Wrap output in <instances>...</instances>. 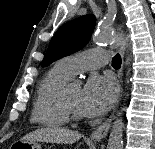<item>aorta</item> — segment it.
<instances>
[{
    "instance_id": "762f6f07",
    "label": "aorta",
    "mask_w": 155,
    "mask_h": 149,
    "mask_svg": "<svg viewBox=\"0 0 155 149\" xmlns=\"http://www.w3.org/2000/svg\"><path fill=\"white\" fill-rule=\"evenodd\" d=\"M93 40L96 44H117L119 42L113 31L109 29L99 32ZM126 61L130 59L127 58ZM123 128L122 112H118L110 132L107 149H122Z\"/></svg>"
}]
</instances>
